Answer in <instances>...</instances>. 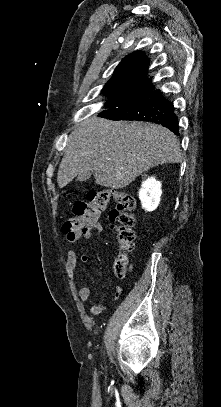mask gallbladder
I'll use <instances>...</instances> for the list:
<instances>
[{
    "mask_svg": "<svg viewBox=\"0 0 221 407\" xmlns=\"http://www.w3.org/2000/svg\"><path fill=\"white\" fill-rule=\"evenodd\" d=\"M91 175H92L91 171H83L78 175L77 180L79 181L88 180L91 177Z\"/></svg>",
    "mask_w": 221,
    "mask_h": 407,
    "instance_id": "obj_1",
    "label": "gallbladder"
}]
</instances>
